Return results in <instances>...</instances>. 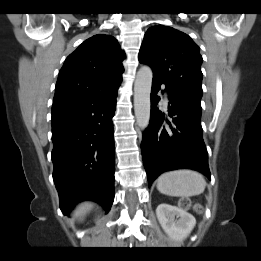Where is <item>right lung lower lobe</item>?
Listing matches in <instances>:
<instances>
[{
  "instance_id": "obj_1",
  "label": "right lung lower lobe",
  "mask_w": 261,
  "mask_h": 261,
  "mask_svg": "<svg viewBox=\"0 0 261 261\" xmlns=\"http://www.w3.org/2000/svg\"><path fill=\"white\" fill-rule=\"evenodd\" d=\"M116 97L117 88L53 103V179L64 214L84 200L98 202L106 212L111 208Z\"/></svg>"
}]
</instances>
